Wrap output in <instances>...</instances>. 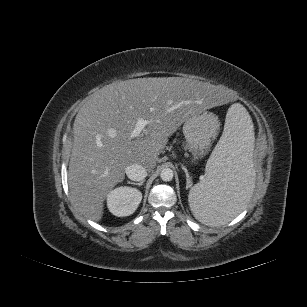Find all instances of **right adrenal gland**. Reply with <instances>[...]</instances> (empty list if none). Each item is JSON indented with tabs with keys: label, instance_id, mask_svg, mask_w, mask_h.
<instances>
[{
	"label": "right adrenal gland",
	"instance_id": "1",
	"mask_svg": "<svg viewBox=\"0 0 307 307\" xmlns=\"http://www.w3.org/2000/svg\"><path fill=\"white\" fill-rule=\"evenodd\" d=\"M143 183H144V181H141V182H138V183L128 181V184L138 185V186H141Z\"/></svg>",
	"mask_w": 307,
	"mask_h": 307
}]
</instances>
